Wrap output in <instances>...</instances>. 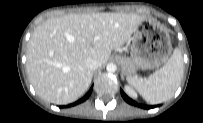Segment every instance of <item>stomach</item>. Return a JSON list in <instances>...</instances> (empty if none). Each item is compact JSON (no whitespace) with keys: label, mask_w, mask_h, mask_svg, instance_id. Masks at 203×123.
<instances>
[{"label":"stomach","mask_w":203,"mask_h":123,"mask_svg":"<svg viewBox=\"0 0 203 123\" xmlns=\"http://www.w3.org/2000/svg\"><path fill=\"white\" fill-rule=\"evenodd\" d=\"M172 53L171 39L164 29L151 23H141L132 33L131 57H118L122 71L132 76L137 70L158 68L165 64Z\"/></svg>","instance_id":"stomach-1"}]
</instances>
